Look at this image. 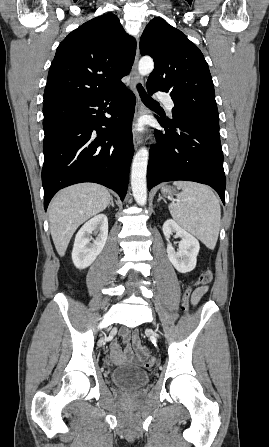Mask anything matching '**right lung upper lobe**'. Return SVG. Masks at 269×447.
Listing matches in <instances>:
<instances>
[{
	"instance_id": "right-lung-upper-lobe-1",
	"label": "right lung upper lobe",
	"mask_w": 269,
	"mask_h": 447,
	"mask_svg": "<svg viewBox=\"0 0 269 447\" xmlns=\"http://www.w3.org/2000/svg\"><path fill=\"white\" fill-rule=\"evenodd\" d=\"M136 41L113 13L71 32L58 46L48 73L44 102L91 95L121 85L134 62Z\"/></svg>"
}]
</instances>
